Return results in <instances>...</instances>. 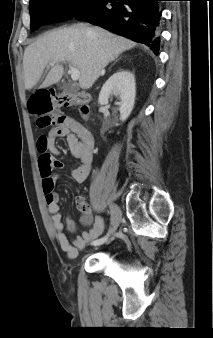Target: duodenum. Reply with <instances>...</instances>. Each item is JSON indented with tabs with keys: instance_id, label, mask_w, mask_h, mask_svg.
I'll return each instance as SVG.
<instances>
[{
	"instance_id": "410a0bca",
	"label": "duodenum",
	"mask_w": 213,
	"mask_h": 338,
	"mask_svg": "<svg viewBox=\"0 0 213 338\" xmlns=\"http://www.w3.org/2000/svg\"><path fill=\"white\" fill-rule=\"evenodd\" d=\"M82 116H83L84 118H87V117H88L87 112H82Z\"/></svg>"
}]
</instances>
